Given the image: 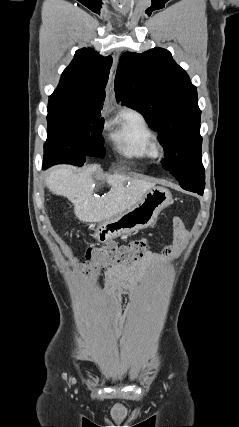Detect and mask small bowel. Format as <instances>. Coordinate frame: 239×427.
<instances>
[{"label":"small bowel","instance_id":"c3829d8e","mask_svg":"<svg viewBox=\"0 0 239 427\" xmlns=\"http://www.w3.org/2000/svg\"><path fill=\"white\" fill-rule=\"evenodd\" d=\"M174 226L176 227V240L182 239L185 236L182 221L178 218L174 219ZM171 253V248L165 249L162 253H148L130 265H116L107 271V289L112 293L111 302L113 306L109 317L119 326L124 324V319L120 316L121 306L118 294L121 292L131 294L132 301L128 307V313L135 312L142 302V290L152 281L148 272H159L167 263Z\"/></svg>","mask_w":239,"mask_h":427}]
</instances>
